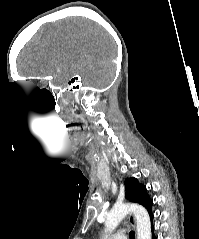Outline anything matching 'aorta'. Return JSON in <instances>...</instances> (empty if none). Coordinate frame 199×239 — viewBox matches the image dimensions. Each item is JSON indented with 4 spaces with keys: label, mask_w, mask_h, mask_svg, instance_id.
Masks as SVG:
<instances>
[{
    "label": "aorta",
    "mask_w": 199,
    "mask_h": 239,
    "mask_svg": "<svg viewBox=\"0 0 199 239\" xmlns=\"http://www.w3.org/2000/svg\"><path fill=\"white\" fill-rule=\"evenodd\" d=\"M133 213L137 224V239H151V225L147 210L138 204H116L108 213L105 230L111 233L124 217Z\"/></svg>",
    "instance_id": "762f6f07"
}]
</instances>
